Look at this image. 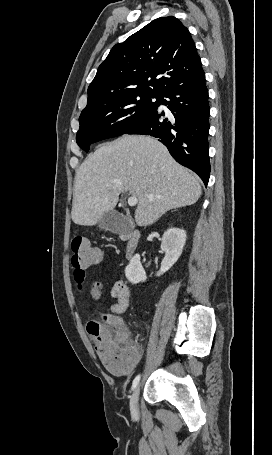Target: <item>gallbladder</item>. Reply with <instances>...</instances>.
<instances>
[{
  "label": "gallbladder",
  "instance_id": "gallbladder-1",
  "mask_svg": "<svg viewBox=\"0 0 272 455\" xmlns=\"http://www.w3.org/2000/svg\"><path fill=\"white\" fill-rule=\"evenodd\" d=\"M98 226L101 229L118 234H127L134 229L131 219L113 210L106 212L101 217Z\"/></svg>",
  "mask_w": 272,
  "mask_h": 455
}]
</instances>
